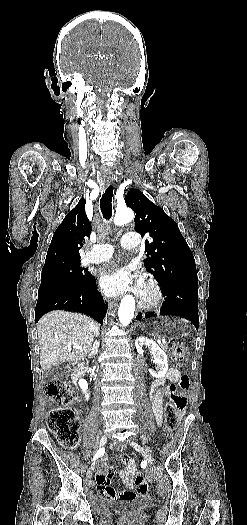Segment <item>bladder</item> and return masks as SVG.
<instances>
[{
  "mask_svg": "<svg viewBox=\"0 0 247 525\" xmlns=\"http://www.w3.org/2000/svg\"><path fill=\"white\" fill-rule=\"evenodd\" d=\"M155 504L156 499L154 497L148 495H137L131 499L117 500L114 503L112 510L117 514L128 515L147 510Z\"/></svg>",
  "mask_w": 247,
  "mask_h": 525,
  "instance_id": "31cf9c89",
  "label": "bladder"
}]
</instances>
